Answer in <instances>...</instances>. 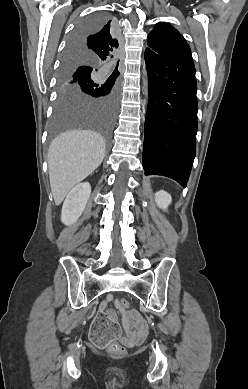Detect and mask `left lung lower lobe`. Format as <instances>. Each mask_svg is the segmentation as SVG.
<instances>
[{"label":"left lung lower lobe","mask_w":248,"mask_h":389,"mask_svg":"<svg viewBox=\"0 0 248 389\" xmlns=\"http://www.w3.org/2000/svg\"><path fill=\"white\" fill-rule=\"evenodd\" d=\"M148 109L143 167L186 187L196 153L197 85L191 52L145 51Z\"/></svg>","instance_id":"left-lung-lower-lobe-1"}]
</instances>
